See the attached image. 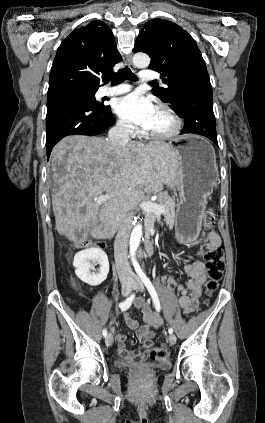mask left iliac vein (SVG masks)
Segmentation results:
<instances>
[{
  "label": "left iliac vein",
  "instance_id": "left-iliac-vein-1",
  "mask_svg": "<svg viewBox=\"0 0 265 423\" xmlns=\"http://www.w3.org/2000/svg\"><path fill=\"white\" fill-rule=\"evenodd\" d=\"M133 289L137 291H144L143 283L137 276H135L133 280ZM169 342L171 345L176 343V336L174 334L169 335Z\"/></svg>",
  "mask_w": 265,
  "mask_h": 423
}]
</instances>
